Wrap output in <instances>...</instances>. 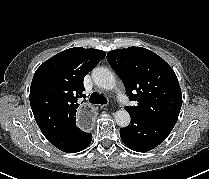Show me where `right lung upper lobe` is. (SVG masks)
I'll list each match as a JSON object with an SVG mask.
<instances>
[{"label":"right lung upper lobe","mask_w":209,"mask_h":179,"mask_svg":"<svg viewBox=\"0 0 209 179\" xmlns=\"http://www.w3.org/2000/svg\"><path fill=\"white\" fill-rule=\"evenodd\" d=\"M105 55L97 49L70 48L48 59L36 70L30 88V104L49 142L76 126L78 99L85 97L84 76Z\"/></svg>","instance_id":"1"}]
</instances>
